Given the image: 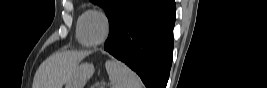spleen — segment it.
I'll return each mask as SVG.
<instances>
[{"label":"spleen","mask_w":267,"mask_h":88,"mask_svg":"<svg viewBox=\"0 0 267 88\" xmlns=\"http://www.w3.org/2000/svg\"><path fill=\"white\" fill-rule=\"evenodd\" d=\"M105 67L112 88H143L139 76L124 63L117 60H107Z\"/></svg>","instance_id":"spleen-1"}]
</instances>
